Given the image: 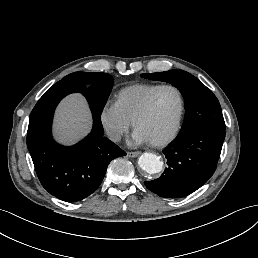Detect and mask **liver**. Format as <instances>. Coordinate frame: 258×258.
I'll return each instance as SVG.
<instances>
[{
    "instance_id": "6515ba94",
    "label": "liver",
    "mask_w": 258,
    "mask_h": 258,
    "mask_svg": "<svg viewBox=\"0 0 258 258\" xmlns=\"http://www.w3.org/2000/svg\"><path fill=\"white\" fill-rule=\"evenodd\" d=\"M93 128V115L86 97L80 92L66 95L57 105L52 126V139L70 147L86 138Z\"/></svg>"
}]
</instances>
